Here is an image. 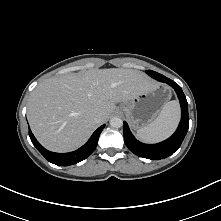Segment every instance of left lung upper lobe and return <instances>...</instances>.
Instances as JSON below:
<instances>
[{"instance_id":"1","label":"left lung upper lobe","mask_w":221,"mask_h":221,"mask_svg":"<svg viewBox=\"0 0 221 221\" xmlns=\"http://www.w3.org/2000/svg\"><path fill=\"white\" fill-rule=\"evenodd\" d=\"M146 73L158 81H161V79L165 77V76H163L155 71H152V70H147Z\"/></svg>"}]
</instances>
